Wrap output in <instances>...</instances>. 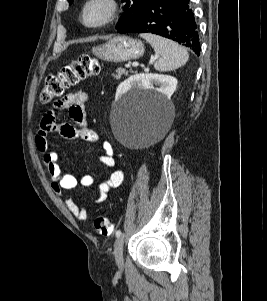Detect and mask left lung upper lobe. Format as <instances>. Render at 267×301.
<instances>
[{
    "instance_id": "1",
    "label": "left lung upper lobe",
    "mask_w": 267,
    "mask_h": 301,
    "mask_svg": "<svg viewBox=\"0 0 267 301\" xmlns=\"http://www.w3.org/2000/svg\"><path fill=\"white\" fill-rule=\"evenodd\" d=\"M71 1L73 0H69V2ZM147 1L148 0H121V2L125 3L124 13L120 17L116 29L134 20Z\"/></svg>"
}]
</instances>
